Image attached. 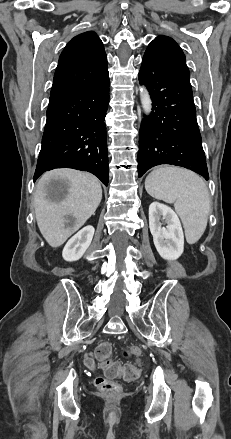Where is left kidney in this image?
Wrapping results in <instances>:
<instances>
[{
    "mask_svg": "<svg viewBox=\"0 0 231 439\" xmlns=\"http://www.w3.org/2000/svg\"><path fill=\"white\" fill-rule=\"evenodd\" d=\"M167 223L161 227L160 219ZM149 228L159 255L166 260L178 259L184 250V234L177 214L168 206L153 202L149 206Z\"/></svg>",
    "mask_w": 231,
    "mask_h": 439,
    "instance_id": "left-kidney-1",
    "label": "left kidney"
}]
</instances>
